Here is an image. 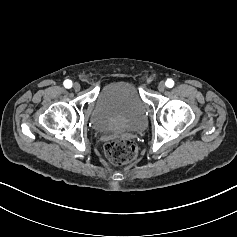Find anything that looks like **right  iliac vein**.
<instances>
[{
	"label": "right iliac vein",
	"instance_id": "right-iliac-vein-1",
	"mask_svg": "<svg viewBox=\"0 0 237 237\" xmlns=\"http://www.w3.org/2000/svg\"><path fill=\"white\" fill-rule=\"evenodd\" d=\"M73 88L76 92H78L80 90L81 86L79 83H74Z\"/></svg>",
	"mask_w": 237,
	"mask_h": 237
}]
</instances>
